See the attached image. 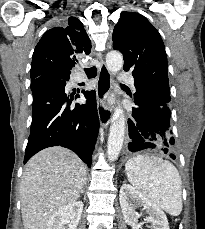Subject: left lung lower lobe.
<instances>
[{
  "mask_svg": "<svg viewBox=\"0 0 205 229\" xmlns=\"http://www.w3.org/2000/svg\"><path fill=\"white\" fill-rule=\"evenodd\" d=\"M142 99L134 100L132 119L128 120L131 152L146 148L158 149L175 159V140L170 127V105L147 91L140 90Z\"/></svg>",
  "mask_w": 205,
  "mask_h": 229,
  "instance_id": "obj_1",
  "label": "left lung lower lobe"
}]
</instances>
